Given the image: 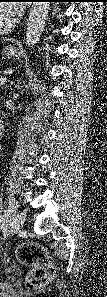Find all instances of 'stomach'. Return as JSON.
Returning a JSON list of instances; mask_svg holds the SVG:
<instances>
[{
  "instance_id": "0dacf381",
  "label": "stomach",
  "mask_w": 107,
  "mask_h": 297,
  "mask_svg": "<svg viewBox=\"0 0 107 297\" xmlns=\"http://www.w3.org/2000/svg\"><path fill=\"white\" fill-rule=\"evenodd\" d=\"M3 54L7 59L15 60L19 57V50L10 45L3 49Z\"/></svg>"
}]
</instances>
